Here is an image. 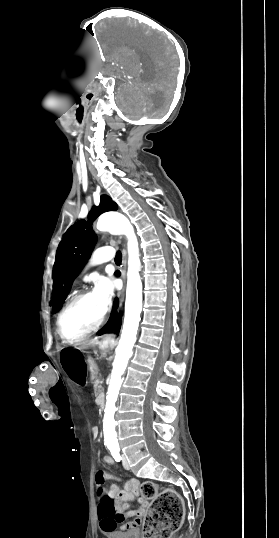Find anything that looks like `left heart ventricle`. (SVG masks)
I'll return each instance as SVG.
<instances>
[{"mask_svg":"<svg viewBox=\"0 0 279 538\" xmlns=\"http://www.w3.org/2000/svg\"><path fill=\"white\" fill-rule=\"evenodd\" d=\"M103 311L102 304L95 294L80 300L62 319L63 335L70 340L76 339L94 327Z\"/></svg>","mask_w":279,"mask_h":538,"instance_id":"b2bd125f","label":"left heart ventricle"}]
</instances>
